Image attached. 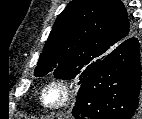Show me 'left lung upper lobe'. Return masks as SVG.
I'll return each mask as SVG.
<instances>
[{"label": "left lung upper lobe", "instance_id": "obj_1", "mask_svg": "<svg viewBox=\"0 0 142 119\" xmlns=\"http://www.w3.org/2000/svg\"><path fill=\"white\" fill-rule=\"evenodd\" d=\"M133 31L120 0H72L56 19L34 75L78 76L81 85Z\"/></svg>", "mask_w": 142, "mask_h": 119}]
</instances>
